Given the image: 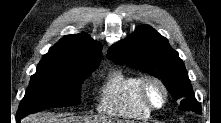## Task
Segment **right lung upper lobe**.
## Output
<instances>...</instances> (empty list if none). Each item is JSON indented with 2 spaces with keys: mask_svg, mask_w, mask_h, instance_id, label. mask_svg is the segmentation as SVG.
I'll list each match as a JSON object with an SVG mask.
<instances>
[{
  "mask_svg": "<svg viewBox=\"0 0 221 123\" xmlns=\"http://www.w3.org/2000/svg\"><path fill=\"white\" fill-rule=\"evenodd\" d=\"M101 45L89 35H66L52 46L40 62H64L91 66L100 62Z\"/></svg>",
  "mask_w": 221,
  "mask_h": 123,
  "instance_id": "cb5924a9",
  "label": "right lung upper lobe"
}]
</instances>
